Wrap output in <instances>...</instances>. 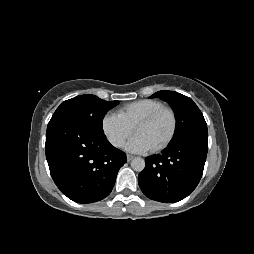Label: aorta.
<instances>
[{"instance_id": "762f6f07", "label": "aorta", "mask_w": 254, "mask_h": 254, "mask_svg": "<svg viewBox=\"0 0 254 254\" xmlns=\"http://www.w3.org/2000/svg\"><path fill=\"white\" fill-rule=\"evenodd\" d=\"M131 167L134 171L141 172L145 168V160L140 157H136L131 161Z\"/></svg>"}]
</instances>
